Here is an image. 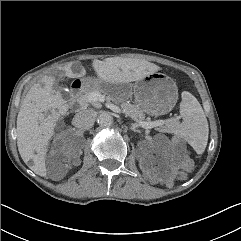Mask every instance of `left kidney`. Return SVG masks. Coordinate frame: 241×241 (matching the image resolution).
<instances>
[{
    "label": "left kidney",
    "mask_w": 241,
    "mask_h": 241,
    "mask_svg": "<svg viewBox=\"0 0 241 241\" xmlns=\"http://www.w3.org/2000/svg\"><path fill=\"white\" fill-rule=\"evenodd\" d=\"M157 149V146H155L153 143H149L145 151L147 154H151L155 150L158 151Z\"/></svg>",
    "instance_id": "left-kidney-1"
}]
</instances>
